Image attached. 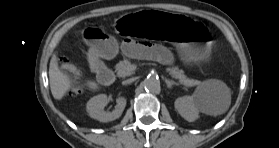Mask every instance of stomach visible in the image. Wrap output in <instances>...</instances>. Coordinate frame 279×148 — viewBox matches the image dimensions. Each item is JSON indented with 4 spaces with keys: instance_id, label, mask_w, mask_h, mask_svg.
<instances>
[{
    "instance_id": "0dacf381",
    "label": "stomach",
    "mask_w": 279,
    "mask_h": 148,
    "mask_svg": "<svg viewBox=\"0 0 279 148\" xmlns=\"http://www.w3.org/2000/svg\"><path fill=\"white\" fill-rule=\"evenodd\" d=\"M123 35H136L176 47L186 63L206 61L218 42V31L204 16L170 8H140L116 23ZM79 45L94 55L111 58L118 49L113 32L104 25L87 24L78 33Z\"/></svg>"
}]
</instances>
